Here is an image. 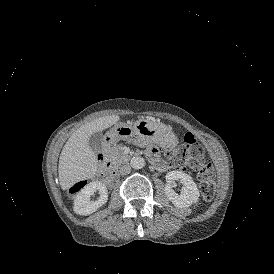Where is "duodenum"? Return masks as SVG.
<instances>
[{"label": "duodenum", "mask_w": 274, "mask_h": 274, "mask_svg": "<svg viewBox=\"0 0 274 274\" xmlns=\"http://www.w3.org/2000/svg\"><path fill=\"white\" fill-rule=\"evenodd\" d=\"M111 141H112V138L106 139V142H111ZM98 160H99L102 170L104 171V173L107 176L114 177L116 175V171H115L113 165L109 162V160L107 159V157L104 153L101 152L98 154ZM152 162L157 170H159V171L166 170L165 164L163 162H161L160 160H154Z\"/></svg>", "instance_id": "obj_1"}]
</instances>
